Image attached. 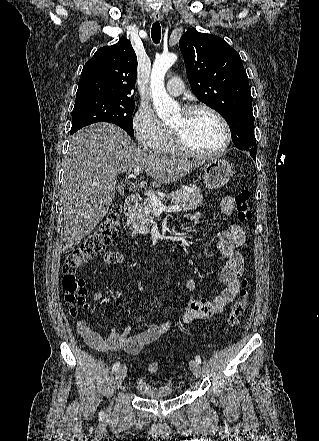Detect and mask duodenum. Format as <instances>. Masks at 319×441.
<instances>
[{
	"instance_id": "410a0bca",
	"label": "duodenum",
	"mask_w": 319,
	"mask_h": 441,
	"mask_svg": "<svg viewBox=\"0 0 319 441\" xmlns=\"http://www.w3.org/2000/svg\"><path fill=\"white\" fill-rule=\"evenodd\" d=\"M139 198L135 194L129 195L124 204V214L128 215L130 212H132L138 205Z\"/></svg>"
}]
</instances>
